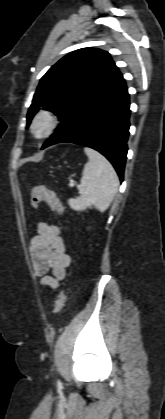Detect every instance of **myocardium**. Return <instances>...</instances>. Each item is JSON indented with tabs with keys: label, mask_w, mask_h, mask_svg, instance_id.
<instances>
[{
	"label": "myocardium",
	"mask_w": 165,
	"mask_h": 419,
	"mask_svg": "<svg viewBox=\"0 0 165 419\" xmlns=\"http://www.w3.org/2000/svg\"><path fill=\"white\" fill-rule=\"evenodd\" d=\"M58 118L49 109L39 110L30 124V132L36 139L48 137L57 127Z\"/></svg>",
	"instance_id": "1"
}]
</instances>
